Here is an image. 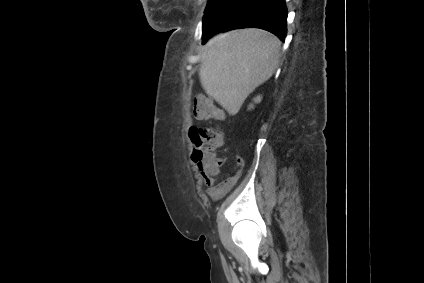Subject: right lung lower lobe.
<instances>
[{
	"instance_id": "obj_1",
	"label": "right lung lower lobe",
	"mask_w": 424,
	"mask_h": 283,
	"mask_svg": "<svg viewBox=\"0 0 424 283\" xmlns=\"http://www.w3.org/2000/svg\"><path fill=\"white\" fill-rule=\"evenodd\" d=\"M286 18L284 0H228L203 28V44L219 32L250 27L267 30L284 41Z\"/></svg>"
}]
</instances>
